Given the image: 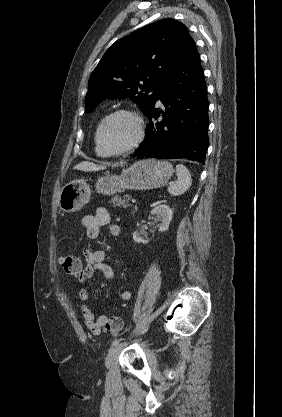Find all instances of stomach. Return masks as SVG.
I'll list each match as a JSON object with an SVG mask.
<instances>
[{
    "label": "stomach",
    "mask_w": 282,
    "mask_h": 417,
    "mask_svg": "<svg viewBox=\"0 0 282 417\" xmlns=\"http://www.w3.org/2000/svg\"><path fill=\"white\" fill-rule=\"evenodd\" d=\"M173 170L171 162L168 160H154L145 158L137 160L129 168H125L121 174H106L99 176L95 182L97 192L101 194H114L123 192L125 188H160L168 182ZM91 190L83 178H76L62 188L59 194V206L65 213H75L80 211L82 206L89 202Z\"/></svg>",
    "instance_id": "stomach-1"
}]
</instances>
